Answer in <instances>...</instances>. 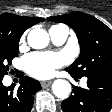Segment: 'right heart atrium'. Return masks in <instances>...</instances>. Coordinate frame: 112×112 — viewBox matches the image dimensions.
Here are the masks:
<instances>
[{
    "instance_id": "1",
    "label": "right heart atrium",
    "mask_w": 112,
    "mask_h": 112,
    "mask_svg": "<svg viewBox=\"0 0 112 112\" xmlns=\"http://www.w3.org/2000/svg\"><path fill=\"white\" fill-rule=\"evenodd\" d=\"M25 36H26L25 34L22 35V37H21V39H20L21 43L24 42V40H25Z\"/></svg>"
}]
</instances>
